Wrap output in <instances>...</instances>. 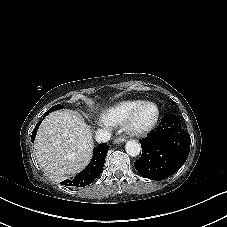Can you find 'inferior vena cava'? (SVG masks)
Returning a JSON list of instances; mask_svg holds the SVG:
<instances>
[{"mask_svg":"<svg viewBox=\"0 0 227 227\" xmlns=\"http://www.w3.org/2000/svg\"><path fill=\"white\" fill-rule=\"evenodd\" d=\"M111 137V132L109 129L103 128V129H98L95 132V140L98 143H105L110 140Z\"/></svg>","mask_w":227,"mask_h":227,"instance_id":"1","label":"inferior vena cava"}]
</instances>
